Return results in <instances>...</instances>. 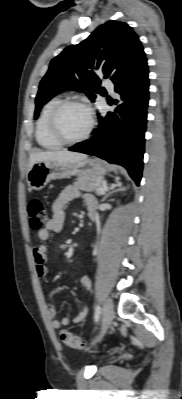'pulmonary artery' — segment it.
I'll use <instances>...</instances> for the list:
<instances>
[{
	"instance_id": "pulmonary-artery-1",
	"label": "pulmonary artery",
	"mask_w": 182,
	"mask_h": 399,
	"mask_svg": "<svg viewBox=\"0 0 182 399\" xmlns=\"http://www.w3.org/2000/svg\"><path fill=\"white\" fill-rule=\"evenodd\" d=\"M104 86H105L106 89H108L110 92H113V91H114V84H113L112 81H110V80H105Z\"/></svg>"
}]
</instances>
